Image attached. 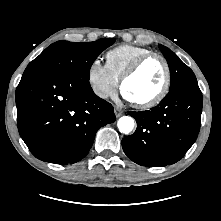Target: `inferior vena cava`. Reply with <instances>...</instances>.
Segmentation results:
<instances>
[{
	"label": "inferior vena cava",
	"mask_w": 221,
	"mask_h": 221,
	"mask_svg": "<svg viewBox=\"0 0 221 221\" xmlns=\"http://www.w3.org/2000/svg\"><path fill=\"white\" fill-rule=\"evenodd\" d=\"M101 96H103V97H105L106 96V94H100Z\"/></svg>",
	"instance_id": "602c4592"
}]
</instances>
